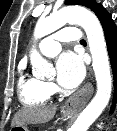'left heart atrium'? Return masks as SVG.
<instances>
[{
  "instance_id": "obj_1",
  "label": "left heart atrium",
  "mask_w": 117,
  "mask_h": 131,
  "mask_svg": "<svg viewBox=\"0 0 117 131\" xmlns=\"http://www.w3.org/2000/svg\"><path fill=\"white\" fill-rule=\"evenodd\" d=\"M56 68L57 80L65 88L78 86L85 75L82 58L73 52L62 54L57 61Z\"/></svg>"
}]
</instances>
